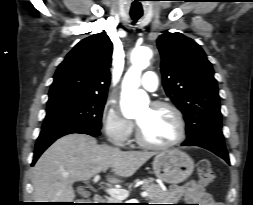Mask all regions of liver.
Masks as SVG:
<instances>
[{"label":"liver","instance_id":"1","mask_svg":"<svg viewBox=\"0 0 253 205\" xmlns=\"http://www.w3.org/2000/svg\"><path fill=\"white\" fill-rule=\"evenodd\" d=\"M153 155L99 145L86 134L63 136L41 155L32 170L33 198L36 202H72L74 182L89 180L108 168L118 177H130ZM107 180L122 182L111 176Z\"/></svg>","mask_w":253,"mask_h":205}]
</instances>
